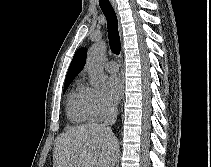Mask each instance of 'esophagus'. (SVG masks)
Returning <instances> with one entry per match:
<instances>
[{
  "instance_id": "1",
  "label": "esophagus",
  "mask_w": 211,
  "mask_h": 167,
  "mask_svg": "<svg viewBox=\"0 0 211 167\" xmlns=\"http://www.w3.org/2000/svg\"><path fill=\"white\" fill-rule=\"evenodd\" d=\"M111 1V4L114 6V8H116V1L115 0H110ZM123 82H124V79H123Z\"/></svg>"
}]
</instances>
